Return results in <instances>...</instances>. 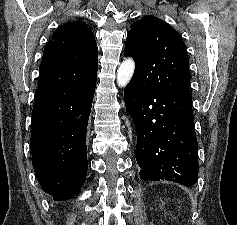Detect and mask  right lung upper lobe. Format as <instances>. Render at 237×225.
Returning <instances> with one entry per match:
<instances>
[{
    "mask_svg": "<svg viewBox=\"0 0 237 225\" xmlns=\"http://www.w3.org/2000/svg\"><path fill=\"white\" fill-rule=\"evenodd\" d=\"M97 69L98 48L92 31L80 21L63 24L45 48L35 97L78 89L97 79Z\"/></svg>",
    "mask_w": 237,
    "mask_h": 225,
    "instance_id": "cb5924a9",
    "label": "right lung upper lobe"
}]
</instances>
